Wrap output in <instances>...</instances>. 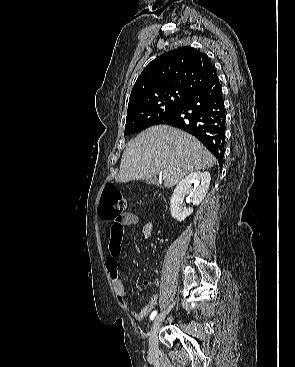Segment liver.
Segmentation results:
<instances>
[{
	"instance_id": "1",
	"label": "liver",
	"mask_w": 295,
	"mask_h": 367,
	"mask_svg": "<svg viewBox=\"0 0 295 367\" xmlns=\"http://www.w3.org/2000/svg\"><path fill=\"white\" fill-rule=\"evenodd\" d=\"M216 158L193 136L166 125L152 126L127 143L116 181L155 179L175 186L189 173L216 165Z\"/></svg>"
}]
</instances>
